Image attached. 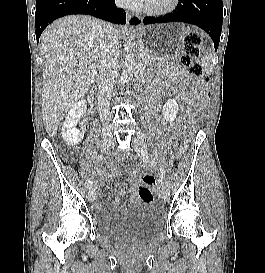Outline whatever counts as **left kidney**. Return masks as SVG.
<instances>
[{
  "mask_svg": "<svg viewBox=\"0 0 265 273\" xmlns=\"http://www.w3.org/2000/svg\"><path fill=\"white\" fill-rule=\"evenodd\" d=\"M179 110L176 99H168L163 106L162 114L166 121H174Z\"/></svg>",
  "mask_w": 265,
  "mask_h": 273,
  "instance_id": "5707ae66",
  "label": "left kidney"
}]
</instances>
